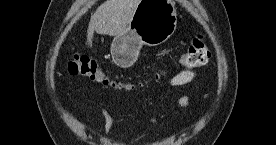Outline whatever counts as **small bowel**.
<instances>
[{"instance_id":"small-bowel-1","label":"small bowel","mask_w":276,"mask_h":145,"mask_svg":"<svg viewBox=\"0 0 276 145\" xmlns=\"http://www.w3.org/2000/svg\"><path fill=\"white\" fill-rule=\"evenodd\" d=\"M196 77V73L192 70H183L180 73H178L172 80H171V85L173 86H183L186 85L188 83H190L194 78ZM180 107H184L186 105H188V98L183 96L179 99L178 102ZM71 111H75L76 110V105L73 103L70 106ZM85 112H83L84 115ZM102 113L104 116V121H105V133L106 135H109L113 128H114V116L112 114V112L106 107V106H102ZM152 121H155L154 119H152Z\"/></svg>"}]
</instances>
